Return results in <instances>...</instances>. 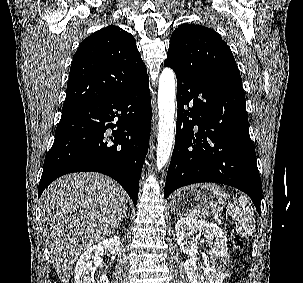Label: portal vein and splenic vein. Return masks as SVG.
Segmentation results:
<instances>
[{
    "mask_svg": "<svg viewBox=\"0 0 303 283\" xmlns=\"http://www.w3.org/2000/svg\"><path fill=\"white\" fill-rule=\"evenodd\" d=\"M214 219L218 224H221V219H219L218 217H215Z\"/></svg>",
    "mask_w": 303,
    "mask_h": 283,
    "instance_id": "portal-vein-and-splenic-vein-1",
    "label": "portal vein and splenic vein"
}]
</instances>
